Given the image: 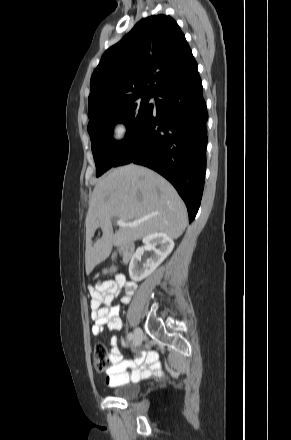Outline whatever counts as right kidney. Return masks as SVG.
<instances>
[{
  "label": "right kidney",
  "mask_w": 291,
  "mask_h": 440,
  "mask_svg": "<svg viewBox=\"0 0 291 440\" xmlns=\"http://www.w3.org/2000/svg\"><path fill=\"white\" fill-rule=\"evenodd\" d=\"M143 247H139L131 258L129 275L134 281H141L149 276L171 253L173 240L165 233H152L143 238ZM156 246H159L156 248ZM145 250L153 251L152 256L143 264L141 256Z\"/></svg>",
  "instance_id": "right-kidney-1"
}]
</instances>
